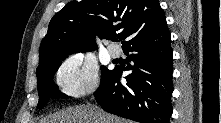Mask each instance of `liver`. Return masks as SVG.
<instances>
[{
    "mask_svg": "<svg viewBox=\"0 0 221 123\" xmlns=\"http://www.w3.org/2000/svg\"><path fill=\"white\" fill-rule=\"evenodd\" d=\"M43 123H127L90 105L70 107L44 119Z\"/></svg>",
    "mask_w": 221,
    "mask_h": 123,
    "instance_id": "obj_1",
    "label": "liver"
}]
</instances>
